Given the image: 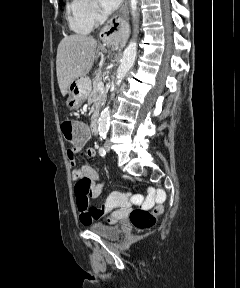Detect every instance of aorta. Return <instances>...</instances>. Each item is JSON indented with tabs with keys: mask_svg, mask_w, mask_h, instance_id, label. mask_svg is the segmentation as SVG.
Wrapping results in <instances>:
<instances>
[{
	"mask_svg": "<svg viewBox=\"0 0 240 288\" xmlns=\"http://www.w3.org/2000/svg\"><path fill=\"white\" fill-rule=\"evenodd\" d=\"M137 3H138L137 0H130L131 13H132L134 20L138 19ZM136 54H137V42L136 40H132L130 41V43L128 44V46L125 48L123 52L121 63L117 70V76H116L117 82H121L122 79L127 74V72L131 69V67L134 64ZM110 116H111V110L107 106L105 109L102 110L100 117H99L98 131H99L100 138L105 139L107 136L109 124H110Z\"/></svg>",
	"mask_w": 240,
	"mask_h": 288,
	"instance_id": "aorta-1",
	"label": "aorta"
}]
</instances>
